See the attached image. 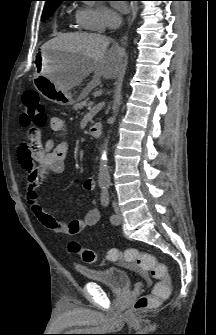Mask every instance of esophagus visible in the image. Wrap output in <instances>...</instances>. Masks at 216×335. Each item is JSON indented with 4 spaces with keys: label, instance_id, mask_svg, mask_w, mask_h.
<instances>
[{
    "label": "esophagus",
    "instance_id": "34e87169",
    "mask_svg": "<svg viewBox=\"0 0 216 335\" xmlns=\"http://www.w3.org/2000/svg\"><path fill=\"white\" fill-rule=\"evenodd\" d=\"M135 18V11L132 9L128 17V25L130 26Z\"/></svg>",
    "mask_w": 216,
    "mask_h": 335
}]
</instances>
